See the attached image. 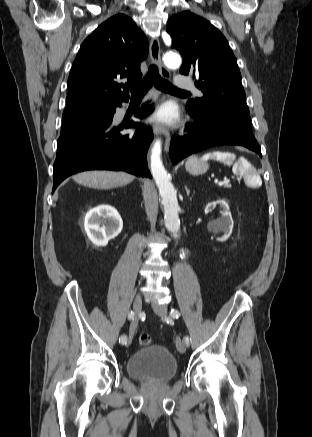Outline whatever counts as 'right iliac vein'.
Masks as SVG:
<instances>
[{
  "label": "right iliac vein",
  "instance_id": "right-iliac-vein-1",
  "mask_svg": "<svg viewBox=\"0 0 312 437\" xmlns=\"http://www.w3.org/2000/svg\"><path fill=\"white\" fill-rule=\"evenodd\" d=\"M133 310L136 313V317L133 319V322L131 324L129 338L125 343L126 346H128L130 344V342L133 338L134 331H135L137 324H138V314L142 310V300H141V297L139 295H137L133 301Z\"/></svg>",
  "mask_w": 312,
  "mask_h": 437
}]
</instances>
